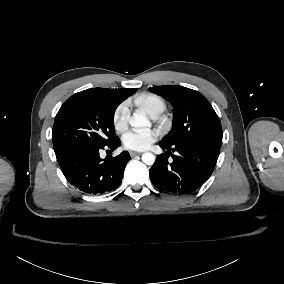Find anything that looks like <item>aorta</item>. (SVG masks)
I'll list each match as a JSON object with an SVG mask.
<instances>
[{"label": "aorta", "mask_w": 284, "mask_h": 284, "mask_svg": "<svg viewBox=\"0 0 284 284\" xmlns=\"http://www.w3.org/2000/svg\"><path fill=\"white\" fill-rule=\"evenodd\" d=\"M129 123L133 127H148L150 125L148 118L143 112L134 113L131 116ZM142 161L146 165H153L155 162V156L150 152H146L142 155Z\"/></svg>", "instance_id": "762f6f07"}]
</instances>
